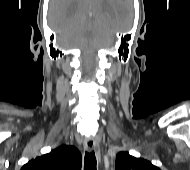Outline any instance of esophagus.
I'll return each mask as SVG.
<instances>
[{
  "label": "esophagus",
  "mask_w": 190,
  "mask_h": 170,
  "mask_svg": "<svg viewBox=\"0 0 190 170\" xmlns=\"http://www.w3.org/2000/svg\"><path fill=\"white\" fill-rule=\"evenodd\" d=\"M84 148L88 152H92L97 148V142L94 138H88L84 142ZM98 159L100 160V154H97Z\"/></svg>",
  "instance_id": "obj_1"
}]
</instances>
